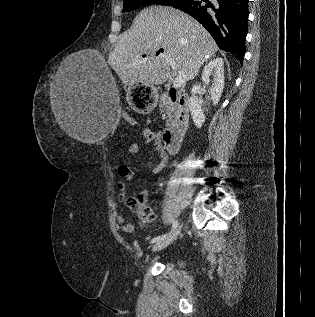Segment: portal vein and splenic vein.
Masks as SVG:
<instances>
[{"instance_id":"1","label":"portal vein and splenic vein","mask_w":315,"mask_h":317,"mask_svg":"<svg viewBox=\"0 0 315 317\" xmlns=\"http://www.w3.org/2000/svg\"><path fill=\"white\" fill-rule=\"evenodd\" d=\"M166 62L169 66H171L172 69L177 70L178 66L174 59H172L169 56H165ZM185 82V75L179 72L177 77L175 78L173 82L174 87H180Z\"/></svg>"}]
</instances>
